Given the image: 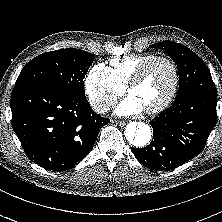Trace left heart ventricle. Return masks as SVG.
I'll return each instance as SVG.
<instances>
[{
    "mask_svg": "<svg viewBox=\"0 0 222 222\" xmlns=\"http://www.w3.org/2000/svg\"><path fill=\"white\" fill-rule=\"evenodd\" d=\"M173 72L165 62H156L146 72L140 83L135 85L131 94L136 96L144 109L160 104L171 90Z\"/></svg>",
    "mask_w": 222,
    "mask_h": 222,
    "instance_id": "left-heart-ventricle-1",
    "label": "left heart ventricle"
}]
</instances>
